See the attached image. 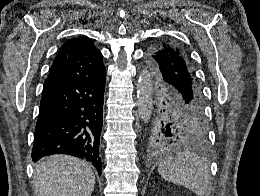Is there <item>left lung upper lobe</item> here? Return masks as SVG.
Masks as SVG:
<instances>
[{"label": "left lung upper lobe", "instance_id": "5c2ea615", "mask_svg": "<svg viewBox=\"0 0 260 196\" xmlns=\"http://www.w3.org/2000/svg\"><path fill=\"white\" fill-rule=\"evenodd\" d=\"M154 80L151 110L144 131L149 151L185 143L202 144L208 138L201 87L191 58L181 45L160 41L147 49Z\"/></svg>", "mask_w": 260, "mask_h": 196}]
</instances>
